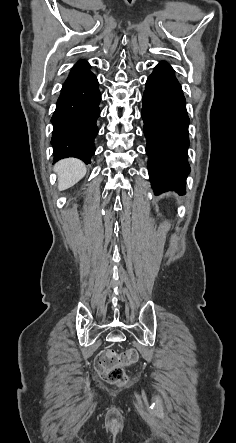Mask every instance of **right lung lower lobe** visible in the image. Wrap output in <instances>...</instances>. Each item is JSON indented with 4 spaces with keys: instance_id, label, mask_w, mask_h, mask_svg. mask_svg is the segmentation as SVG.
<instances>
[{
    "instance_id": "98d812e1",
    "label": "right lung lower lobe",
    "mask_w": 236,
    "mask_h": 443,
    "mask_svg": "<svg viewBox=\"0 0 236 443\" xmlns=\"http://www.w3.org/2000/svg\"><path fill=\"white\" fill-rule=\"evenodd\" d=\"M86 61L71 69L57 101L51 119V144L54 160L76 157L90 163L95 152L94 138L98 134L96 120L100 115L101 94L96 76Z\"/></svg>"
}]
</instances>
